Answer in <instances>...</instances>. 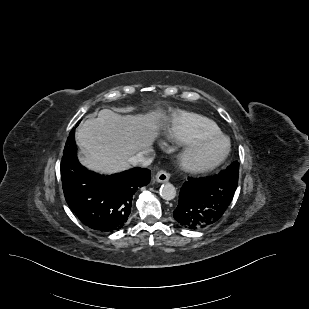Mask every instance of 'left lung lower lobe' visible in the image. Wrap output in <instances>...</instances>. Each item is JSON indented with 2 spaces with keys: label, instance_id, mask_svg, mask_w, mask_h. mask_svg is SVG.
<instances>
[{
  "label": "left lung lower lobe",
  "instance_id": "obj_1",
  "mask_svg": "<svg viewBox=\"0 0 309 309\" xmlns=\"http://www.w3.org/2000/svg\"><path fill=\"white\" fill-rule=\"evenodd\" d=\"M237 185L238 178L225 170L208 178H188L173 212L175 220L190 230L213 225L230 205Z\"/></svg>",
  "mask_w": 309,
  "mask_h": 309
}]
</instances>
